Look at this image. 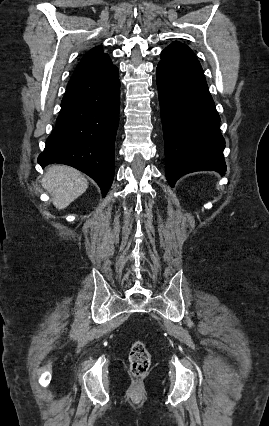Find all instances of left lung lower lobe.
Segmentation results:
<instances>
[{"label":"left lung lower lobe","instance_id":"left-lung-lower-lobe-1","mask_svg":"<svg viewBox=\"0 0 269 426\" xmlns=\"http://www.w3.org/2000/svg\"><path fill=\"white\" fill-rule=\"evenodd\" d=\"M156 71L169 184L195 171L224 174L220 117L195 54L173 42L162 51Z\"/></svg>","mask_w":269,"mask_h":426}]
</instances>
